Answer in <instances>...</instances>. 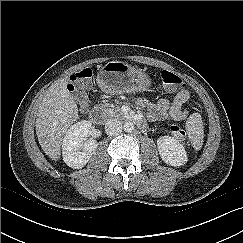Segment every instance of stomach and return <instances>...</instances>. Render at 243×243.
Listing matches in <instances>:
<instances>
[{"mask_svg":"<svg viewBox=\"0 0 243 243\" xmlns=\"http://www.w3.org/2000/svg\"><path fill=\"white\" fill-rule=\"evenodd\" d=\"M97 83L109 94L143 92L150 86V79L142 70L121 61H110L100 68Z\"/></svg>","mask_w":243,"mask_h":243,"instance_id":"1","label":"stomach"}]
</instances>
